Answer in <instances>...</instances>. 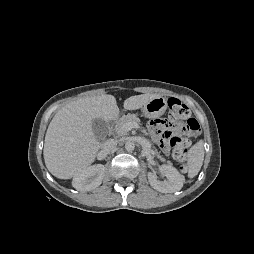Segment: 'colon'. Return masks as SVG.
Returning a JSON list of instances; mask_svg holds the SVG:
<instances>
[{
  "label": "colon",
  "instance_id": "obj_1",
  "mask_svg": "<svg viewBox=\"0 0 254 254\" xmlns=\"http://www.w3.org/2000/svg\"><path fill=\"white\" fill-rule=\"evenodd\" d=\"M167 104L169 118L165 120L172 126L162 131V142L172 148V157L182 163L191 140L200 133V126L194 118H189L188 106L179 99L170 98ZM185 119L186 121L183 123L182 121ZM182 169H185L184 165Z\"/></svg>",
  "mask_w": 254,
  "mask_h": 254
}]
</instances>
